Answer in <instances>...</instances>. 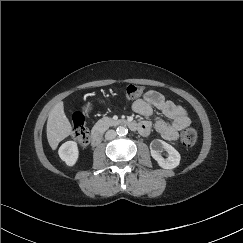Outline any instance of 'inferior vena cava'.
Here are the masks:
<instances>
[{
    "mask_svg": "<svg viewBox=\"0 0 243 243\" xmlns=\"http://www.w3.org/2000/svg\"><path fill=\"white\" fill-rule=\"evenodd\" d=\"M116 131L115 130H108L107 132H106V134H105V138L107 139V140H112V139H114L115 137H116Z\"/></svg>",
    "mask_w": 243,
    "mask_h": 243,
    "instance_id": "1",
    "label": "inferior vena cava"
}]
</instances>
